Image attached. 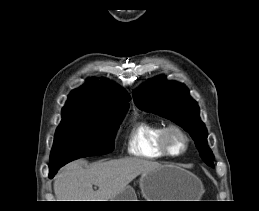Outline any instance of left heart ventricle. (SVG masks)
Here are the masks:
<instances>
[{"instance_id": "1", "label": "left heart ventricle", "mask_w": 259, "mask_h": 211, "mask_svg": "<svg viewBox=\"0 0 259 211\" xmlns=\"http://www.w3.org/2000/svg\"><path fill=\"white\" fill-rule=\"evenodd\" d=\"M170 144L174 150H178L181 146V139L177 134H171Z\"/></svg>"}]
</instances>
